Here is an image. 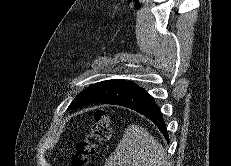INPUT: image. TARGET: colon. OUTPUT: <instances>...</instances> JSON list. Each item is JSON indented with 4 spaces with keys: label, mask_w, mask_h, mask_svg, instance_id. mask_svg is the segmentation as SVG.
Wrapping results in <instances>:
<instances>
[{
    "label": "colon",
    "mask_w": 231,
    "mask_h": 166,
    "mask_svg": "<svg viewBox=\"0 0 231 166\" xmlns=\"http://www.w3.org/2000/svg\"><path fill=\"white\" fill-rule=\"evenodd\" d=\"M110 118L105 110H98L89 133L78 143L72 166H88L99 147L109 139Z\"/></svg>",
    "instance_id": "colon-1"
}]
</instances>
